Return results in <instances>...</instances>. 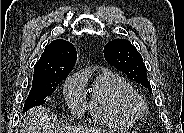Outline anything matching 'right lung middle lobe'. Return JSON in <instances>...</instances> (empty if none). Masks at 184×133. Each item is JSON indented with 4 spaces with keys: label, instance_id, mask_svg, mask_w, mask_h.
Masks as SVG:
<instances>
[{
    "label": "right lung middle lobe",
    "instance_id": "right-lung-middle-lobe-1",
    "mask_svg": "<svg viewBox=\"0 0 184 133\" xmlns=\"http://www.w3.org/2000/svg\"><path fill=\"white\" fill-rule=\"evenodd\" d=\"M62 80V78H55L46 85H32L30 93L25 101L23 112L34 106L44 104L46 102V97L52 95Z\"/></svg>",
    "mask_w": 184,
    "mask_h": 133
}]
</instances>
